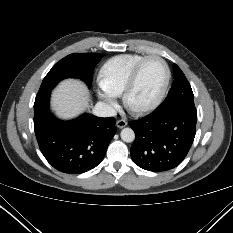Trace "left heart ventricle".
<instances>
[{"mask_svg":"<svg viewBox=\"0 0 233 233\" xmlns=\"http://www.w3.org/2000/svg\"><path fill=\"white\" fill-rule=\"evenodd\" d=\"M165 80V69L157 59H150L142 66L137 84L131 94L133 106H144L152 102L160 93Z\"/></svg>","mask_w":233,"mask_h":233,"instance_id":"b2bd125f","label":"left heart ventricle"}]
</instances>
